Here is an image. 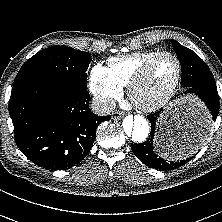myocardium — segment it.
<instances>
[{
	"mask_svg": "<svg viewBox=\"0 0 222 222\" xmlns=\"http://www.w3.org/2000/svg\"><path fill=\"white\" fill-rule=\"evenodd\" d=\"M168 56L173 58L177 65V72L176 76L171 83V85L156 99L149 101V102H143L142 100L139 99L138 97V90L142 83L145 81L147 78V75L149 71L151 70L152 66L154 63L164 57ZM182 77V64L179 58L172 52L169 51H162L157 53L154 57H152L150 60H148L136 73L132 81L130 82L128 86V95L133 104L140 110L145 111V112H151L154 111L160 107H162L165 103L169 101V99L174 95L176 92L179 83L181 81Z\"/></svg>",
	"mask_w": 222,
	"mask_h": 222,
	"instance_id": "myocardium-1",
	"label": "myocardium"
}]
</instances>
